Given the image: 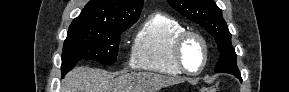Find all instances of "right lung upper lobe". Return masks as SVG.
<instances>
[{
	"label": "right lung upper lobe",
	"mask_w": 289,
	"mask_h": 92,
	"mask_svg": "<svg viewBox=\"0 0 289 92\" xmlns=\"http://www.w3.org/2000/svg\"><path fill=\"white\" fill-rule=\"evenodd\" d=\"M142 7L143 0H90L71 25H133Z\"/></svg>",
	"instance_id": "right-lung-upper-lobe-1"
}]
</instances>
